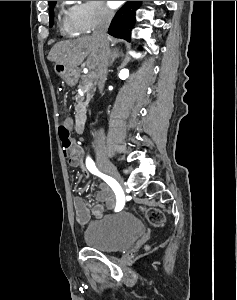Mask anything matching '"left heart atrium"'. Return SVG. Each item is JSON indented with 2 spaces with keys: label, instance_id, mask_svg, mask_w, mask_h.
I'll return each instance as SVG.
<instances>
[{
  "label": "left heart atrium",
  "instance_id": "left-heart-atrium-1",
  "mask_svg": "<svg viewBox=\"0 0 237 300\" xmlns=\"http://www.w3.org/2000/svg\"><path fill=\"white\" fill-rule=\"evenodd\" d=\"M124 1H108V4L113 7V8H116L118 7L119 5H121Z\"/></svg>",
  "mask_w": 237,
  "mask_h": 300
}]
</instances>
